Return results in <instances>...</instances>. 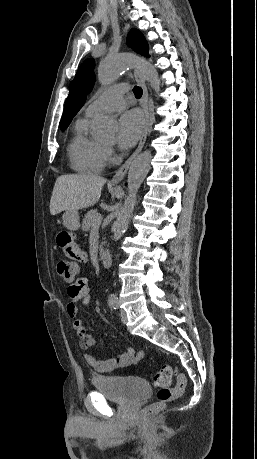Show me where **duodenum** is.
<instances>
[{
	"instance_id": "410a0bca",
	"label": "duodenum",
	"mask_w": 257,
	"mask_h": 459,
	"mask_svg": "<svg viewBox=\"0 0 257 459\" xmlns=\"http://www.w3.org/2000/svg\"><path fill=\"white\" fill-rule=\"evenodd\" d=\"M99 260L102 267H109L112 263V255L109 251H102L99 254Z\"/></svg>"
}]
</instances>
